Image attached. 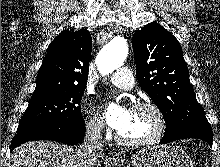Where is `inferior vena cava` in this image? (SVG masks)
<instances>
[{
	"mask_svg": "<svg viewBox=\"0 0 220 167\" xmlns=\"http://www.w3.org/2000/svg\"><path fill=\"white\" fill-rule=\"evenodd\" d=\"M103 122L96 121L86 127V134L80 148L85 160H92L99 156L103 150L101 131Z\"/></svg>",
	"mask_w": 220,
	"mask_h": 167,
	"instance_id": "inferior-vena-cava-1",
	"label": "inferior vena cava"
}]
</instances>
